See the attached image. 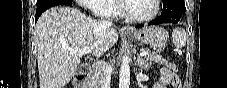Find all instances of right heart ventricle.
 Segmentation results:
<instances>
[{"instance_id": "obj_1", "label": "right heart ventricle", "mask_w": 227, "mask_h": 88, "mask_svg": "<svg viewBox=\"0 0 227 88\" xmlns=\"http://www.w3.org/2000/svg\"><path fill=\"white\" fill-rule=\"evenodd\" d=\"M114 1H109L104 4H101L99 8L105 12H107L108 15H117L116 9L114 7V4L110 3Z\"/></svg>"}]
</instances>
